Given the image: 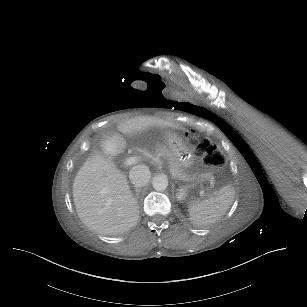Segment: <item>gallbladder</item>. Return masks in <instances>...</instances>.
Returning <instances> with one entry per match:
<instances>
[{"mask_svg":"<svg viewBox=\"0 0 307 307\" xmlns=\"http://www.w3.org/2000/svg\"><path fill=\"white\" fill-rule=\"evenodd\" d=\"M122 140H123L122 137L117 133L116 134L113 133L107 136L102 142L104 151L111 154L118 153L123 145Z\"/></svg>","mask_w":307,"mask_h":307,"instance_id":"bac80fb5","label":"gallbladder"}]
</instances>
